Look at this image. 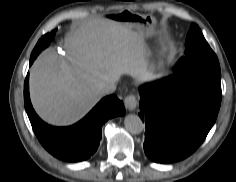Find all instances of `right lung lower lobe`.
Instances as JSON below:
<instances>
[{
  "mask_svg": "<svg viewBox=\"0 0 236 182\" xmlns=\"http://www.w3.org/2000/svg\"><path fill=\"white\" fill-rule=\"evenodd\" d=\"M30 57V65L34 61ZM25 110L32 128L43 147L56 158L79 162L93 155L102 137V125L110 118L124 115L123 102L115 95L103 98L78 123L69 127H53L43 122L35 113L29 97V75L24 83Z\"/></svg>",
  "mask_w": 236,
  "mask_h": 182,
  "instance_id": "right-lung-lower-lobe-1",
  "label": "right lung lower lobe"
}]
</instances>
